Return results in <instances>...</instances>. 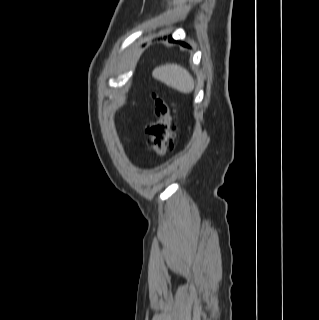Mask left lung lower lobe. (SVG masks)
<instances>
[{"instance_id": "left-lung-lower-lobe-1", "label": "left lung lower lobe", "mask_w": 319, "mask_h": 320, "mask_svg": "<svg viewBox=\"0 0 319 320\" xmlns=\"http://www.w3.org/2000/svg\"><path fill=\"white\" fill-rule=\"evenodd\" d=\"M169 40L173 41V39L171 37H169ZM181 44L184 45V46H187L185 43H181Z\"/></svg>"}]
</instances>
